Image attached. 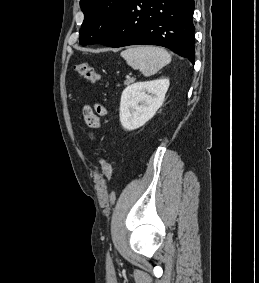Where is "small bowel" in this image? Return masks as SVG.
I'll return each mask as SVG.
<instances>
[{"label": "small bowel", "instance_id": "1", "mask_svg": "<svg viewBox=\"0 0 259 283\" xmlns=\"http://www.w3.org/2000/svg\"><path fill=\"white\" fill-rule=\"evenodd\" d=\"M107 114L105 107L102 105H95L94 107L86 106L83 109L84 121L90 128H98L100 126V120ZM94 139V136L91 135Z\"/></svg>", "mask_w": 259, "mask_h": 283}]
</instances>
